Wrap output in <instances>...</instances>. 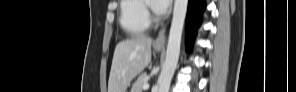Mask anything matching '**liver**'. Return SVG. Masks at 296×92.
I'll return each mask as SVG.
<instances>
[{"instance_id":"6515ba94","label":"liver","mask_w":296,"mask_h":92,"mask_svg":"<svg viewBox=\"0 0 296 92\" xmlns=\"http://www.w3.org/2000/svg\"><path fill=\"white\" fill-rule=\"evenodd\" d=\"M152 39L136 35L119 42L114 51L108 92H125L134 77L151 61Z\"/></svg>"}]
</instances>
